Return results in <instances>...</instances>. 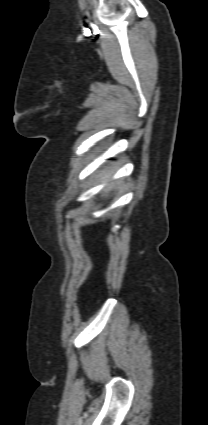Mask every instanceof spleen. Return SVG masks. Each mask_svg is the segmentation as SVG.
Segmentation results:
<instances>
[{"label":"spleen","instance_id":"obj_1","mask_svg":"<svg viewBox=\"0 0 208 425\" xmlns=\"http://www.w3.org/2000/svg\"><path fill=\"white\" fill-rule=\"evenodd\" d=\"M111 175V173H105V174H103V176L101 177V179H100V181L101 182H103V181H105L107 178H109V176ZM111 188V186H108V188L107 189H110Z\"/></svg>","mask_w":208,"mask_h":425}]
</instances>
